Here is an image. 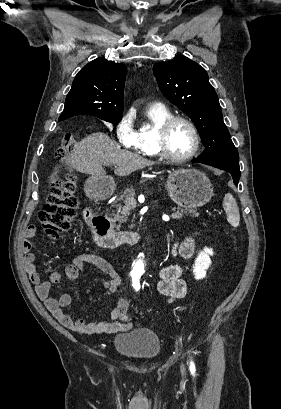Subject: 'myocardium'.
Wrapping results in <instances>:
<instances>
[{
  "label": "myocardium",
  "instance_id": "f54148a6",
  "mask_svg": "<svg viewBox=\"0 0 281 409\" xmlns=\"http://www.w3.org/2000/svg\"><path fill=\"white\" fill-rule=\"evenodd\" d=\"M177 122L184 123L190 129L194 137L193 149L184 156H174L169 152L167 148L168 133L172 126ZM154 143L159 156L172 162H185L187 160L192 159L198 153L201 144V139L197 127L190 119L181 115H173L166 119L160 126L156 128Z\"/></svg>",
  "mask_w": 281,
  "mask_h": 409
}]
</instances>
